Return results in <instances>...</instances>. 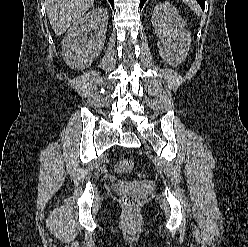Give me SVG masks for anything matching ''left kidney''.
I'll return each mask as SVG.
<instances>
[{
  "instance_id": "5707ae66",
  "label": "left kidney",
  "mask_w": 248,
  "mask_h": 247,
  "mask_svg": "<svg viewBox=\"0 0 248 247\" xmlns=\"http://www.w3.org/2000/svg\"><path fill=\"white\" fill-rule=\"evenodd\" d=\"M158 37L162 59L172 66L182 63L188 54L191 35L185 29V21L170 3L157 5L151 18Z\"/></svg>"
}]
</instances>
